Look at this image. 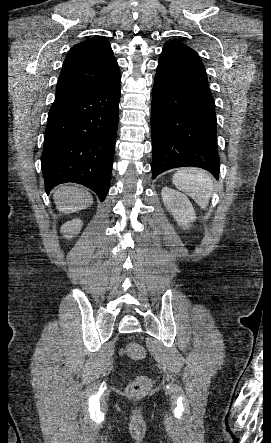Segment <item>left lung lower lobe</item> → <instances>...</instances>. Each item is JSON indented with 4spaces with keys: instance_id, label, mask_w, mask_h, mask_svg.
Wrapping results in <instances>:
<instances>
[{
    "instance_id": "0a47b994",
    "label": "left lung lower lobe",
    "mask_w": 271,
    "mask_h": 443,
    "mask_svg": "<svg viewBox=\"0 0 271 443\" xmlns=\"http://www.w3.org/2000/svg\"><path fill=\"white\" fill-rule=\"evenodd\" d=\"M152 178L177 167L219 176L215 103L204 65L188 46H164L151 105Z\"/></svg>"
}]
</instances>
